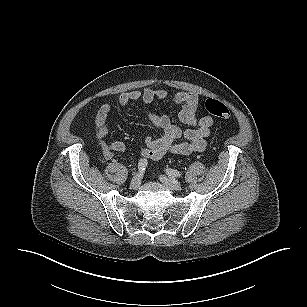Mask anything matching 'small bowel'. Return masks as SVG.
I'll use <instances>...</instances> for the list:
<instances>
[{
	"label": "small bowel",
	"instance_id": "obj_1",
	"mask_svg": "<svg viewBox=\"0 0 307 307\" xmlns=\"http://www.w3.org/2000/svg\"><path fill=\"white\" fill-rule=\"evenodd\" d=\"M168 92L164 89L145 88L144 90H132L122 92L119 95V104L124 106L130 102L142 101L150 104L155 100L167 101ZM173 102L180 107L179 119L191 128L182 131L174 125L166 115L149 112L148 117L153 126L160 131L158 137H146L145 146L141 151L144 159L159 160L167 154L189 155L194 152L203 151L206 147V140L210 135L214 119L205 115L197 116L200 106L199 98L196 94L179 91L172 97ZM111 106L103 104L95 116L96 137L100 140V146L105 158H111L116 152H123L126 148L121 140L106 142L104 138L108 133L107 119ZM183 137V141L178 142Z\"/></svg>",
	"mask_w": 307,
	"mask_h": 307
}]
</instances>
